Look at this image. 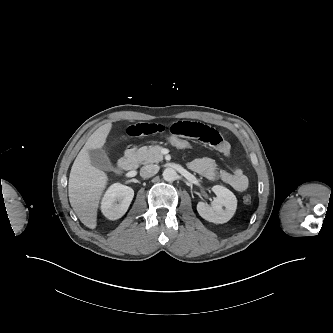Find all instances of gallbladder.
<instances>
[{
    "instance_id": "bac80fb5",
    "label": "gallbladder",
    "mask_w": 333,
    "mask_h": 333,
    "mask_svg": "<svg viewBox=\"0 0 333 333\" xmlns=\"http://www.w3.org/2000/svg\"><path fill=\"white\" fill-rule=\"evenodd\" d=\"M89 157L91 164L94 167L106 172H119V169L111 163L109 157L103 149L89 150Z\"/></svg>"
}]
</instances>
